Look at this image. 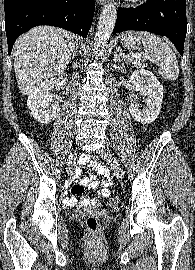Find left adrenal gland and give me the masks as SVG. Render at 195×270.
<instances>
[{"label":"left adrenal gland","instance_id":"obj_1","mask_svg":"<svg viewBox=\"0 0 195 270\" xmlns=\"http://www.w3.org/2000/svg\"><path fill=\"white\" fill-rule=\"evenodd\" d=\"M114 61L115 62H121V59H120V56H119V54L117 53V52H115V54H114Z\"/></svg>","mask_w":195,"mask_h":270}]
</instances>
